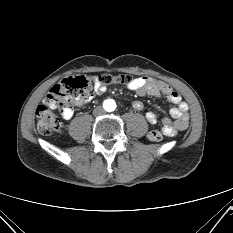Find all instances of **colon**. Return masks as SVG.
<instances>
[{
    "mask_svg": "<svg viewBox=\"0 0 233 233\" xmlns=\"http://www.w3.org/2000/svg\"><path fill=\"white\" fill-rule=\"evenodd\" d=\"M135 78L128 74H103L95 77L71 76L64 81L54 85L46 95L42 105L37 108L36 121L37 130L41 135H54L62 130V123L54 112L55 109L70 107L80 103L92 96V84L100 81L103 84H129ZM153 142L163 140V134L159 130H152L147 135Z\"/></svg>",
    "mask_w": 233,
    "mask_h": 233,
    "instance_id": "1",
    "label": "colon"
}]
</instances>
